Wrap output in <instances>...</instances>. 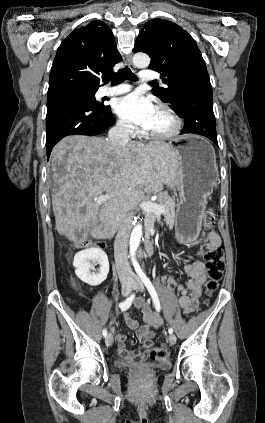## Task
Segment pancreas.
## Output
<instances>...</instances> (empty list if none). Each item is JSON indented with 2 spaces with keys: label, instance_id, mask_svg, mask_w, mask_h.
Instances as JSON below:
<instances>
[{
  "label": "pancreas",
  "instance_id": "cf45deb5",
  "mask_svg": "<svg viewBox=\"0 0 265 423\" xmlns=\"http://www.w3.org/2000/svg\"><path fill=\"white\" fill-rule=\"evenodd\" d=\"M157 204L163 206L165 208L164 220L166 224L172 228L175 224V201L173 198L169 197L166 192H162L158 195V199L156 201ZM156 219V215L154 213H146L145 214V227L147 234H150V230L154 226V222Z\"/></svg>",
  "mask_w": 265,
  "mask_h": 423
}]
</instances>
